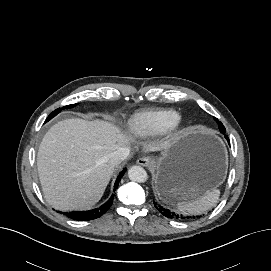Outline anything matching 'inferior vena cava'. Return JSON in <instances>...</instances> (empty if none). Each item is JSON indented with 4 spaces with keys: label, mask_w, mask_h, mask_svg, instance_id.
Instances as JSON below:
<instances>
[{
    "label": "inferior vena cava",
    "mask_w": 271,
    "mask_h": 271,
    "mask_svg": "<svg viewBox=\"0 0 271 271\" xmlns=\"http://www.w3.org/2000/svg\"><path fill=\"white\" fill-rule=\"evenodd\" d=\"M130 150L128 148H121L112 152L109 156V161L112 165L117 166L122 161L129 157Z\"/></svg>",
    "instance_id": "obj_1"
}]
</instances>
